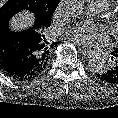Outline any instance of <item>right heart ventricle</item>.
Returning a JSON list of instances; mask_svg holds the SVG:
<instances>
[{"label": "right heart ventricle", "instance_id": "right-heart-ventricle-1", "mask_svg": "<svg viewBox=\"0 0 118 118\" xmlns=\"http://www.w3.org/2000/svg\"><path fill=\"white\" fill-rule=\"evenodd\" d=\"M91 1V0H89ZM102 6L104 11H106L111 6V0H92Z\"/></svg>", "mask_w": 118, "mask_h": 118}]
</instances>
